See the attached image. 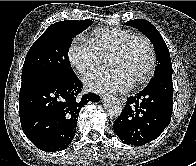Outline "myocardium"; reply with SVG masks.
Returning a JSON list of instances; mask_svg holds the SVG:
<instances>
[{
  "label": "myocardium",
  "mask_w": 196,
  "mask_h": 166,
  "mask_svg": "<svg viewBox=\"0 0 196 166\" xmlns=\"http://www.w3.org/2000/svg\"><path fill=\"white\" fill-rule=\"evenodd\" d=\"M136 40H142L147 45L150 52V63L146 72L133 84L134 87H139L153 76L155 70L157 55L152 41L143 34H133L122 43V45L111 55V57H121L127 54L130 47Z\"/></svg>",
  "instance_id": "f54148a6"
}]
</instances>
